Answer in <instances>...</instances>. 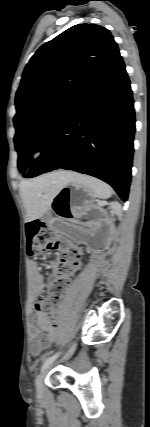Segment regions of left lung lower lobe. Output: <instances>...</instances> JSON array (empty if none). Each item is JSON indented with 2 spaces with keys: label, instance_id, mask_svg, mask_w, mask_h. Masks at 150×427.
Listing matches in <instances>:
<instances>
[{
  "label": "left lung lower lobe",
  "instance_id": "left-lung-lower-lobe-1",
  "mask_svg": "<svg viewBox=\"0 0 150 427\" xmlns=\"http://www.w3.org/2000/svg\"><path fill=\"white\" fill-rule=\"evenodd\" d=\"M134 101L119 51L83 86L40 149L30 178L55 169L74 170L110 184L126 201L131 182Z\"/></svg>",
  "mask_w": 150,
  "mask_h": 427
}]
</instances>
